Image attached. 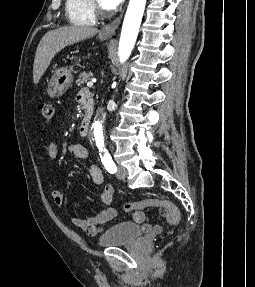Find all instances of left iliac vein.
<instances>
[{
	"instance_id": "obj_1",
	"label": "left iliac vein",
	"mask_w": 255,
	"mask_h": 287,
	"mask_svg": "<svg viewBox=\"0 0 255 287\" xmlns=\"http://www.w3.org/2000/svg\"><path fill=\"white\" fill-rule=\"evenodd\" d=\"M116 176L118 179L125 181L127 179V176H128V172H127L126 168L119 166L118 171L116 173Z\"/></svg>"
}]
</instances>
